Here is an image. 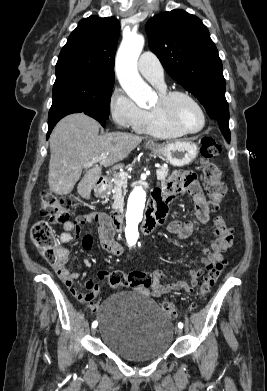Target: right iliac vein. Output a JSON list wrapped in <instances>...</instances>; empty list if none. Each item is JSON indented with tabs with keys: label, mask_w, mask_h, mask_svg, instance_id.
I'll use <instances>...</instances> for the list:
<instances>
[{
	"label": "right iliac vein",
	"mask_w": 267,
	"mask_h": 391,
	"mask_svg": "<svg viewBox=\"0 0 267 391\" xmlns=\"http://www.w3.org/2000/svg\"><path fill=\"white\" fill-rule=\"evenodd\" d=\"M96 332H97V329H96V328H93V329H92V334L95 335Z\"/></svg>",
	"instance_id": "obj_1"
}]
</instances>
